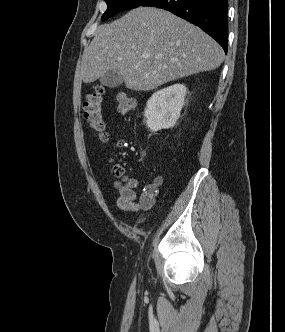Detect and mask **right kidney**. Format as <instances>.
<instances>
[{"instance_id": "1", "label": "right kidney", "mask_w": 285, "mask_h": 332, "mask_svg": "<svg viewBox=\"0 0 285 332\" xmlns=\"http://www.w3.org/2000/svg\"><path fill=\"white\" fill-rule=\"evenodd\" d=\"M187 88L175 84L155 92L147 102L144 116L152 132L172 128L180 117Z\"/></svg>"}]
</instances>
